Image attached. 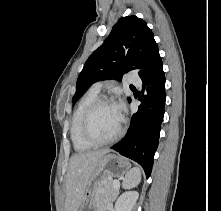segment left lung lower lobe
Here are the masks:
<instances>
[{"instance_id": "0a47b994", "label": "left lung lower lobe", "mask_w": 221, "mask_h": 211, "mask_svg": "<svg viewBox=\"0 0 221 211\" xmlns=\"http://www.w3.org/2000/svg\"><path fill=\"white\" fill-rule=\"evenodd\" d=\"M139 76L143 81L138 98L141 105L131 118L127 135L111 148L138 162L148 178L158 146L166 100L165 76L159 51Z\"/></svg>"}]
</instances>
